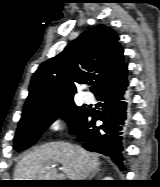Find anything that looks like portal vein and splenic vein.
I'll list each match as a JSON object with an SVG mask.
<instances>
[{"label": "portal vein and splenic vein", "instance_id": "portal-vein-and-splenic-vein-1", "mask_svg": "<svg viewBox=\"0 0 160 187\" xmlns=\"http://www.w3.org/2000/svg\"><path fill=\"white\" fill-rule=\"evenodd\" d=\"M61 180H65V177L63 175H60Z\"/></svg>", "mask_w": 160, "mask_h": 187}]
</instances>
